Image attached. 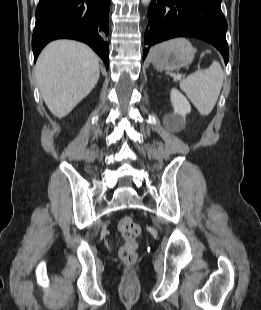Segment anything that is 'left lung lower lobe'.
Returning a JSON list of instances; mask_svg holds the SVG:
<instances>
[{"mask_svg":"<svg viewBox=\"0 0 261 310\" xmlns=\"http://www.w3.org/2000/svg\"><path fill=\"white\" fill-rule=\"evenodd\" d=\"M148 17L144 37L148 47L174 37L192 36L211 43L228 62L227 22L221 0H152ZM148 51L144 48L143 60Z\"/></svg>","mask_w":261,"mask_h":310,"instance_id":"obj_1","label":"left lung lower lobe"}]
</instances>
